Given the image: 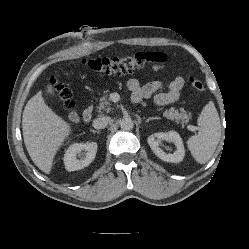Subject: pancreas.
<instances>
[{
	"label": "pancreas",
	"instance_id": "pancreas-1",
	"mask_svg": "<svg viewBox=\"0 0 249 249\" xmlns=\"http://www.w3.org/2000/svg\"><path fill=\"white\" fill-rule=\"evenodd\" d=\"M110 99L108 98V94L107 91L105 92V94L100 98V103L99 106L97 107L98 111H105V112H109L111 110V104L109 103ZM161 109H158V111H160ZM163 116L175 121L177 124H186L189 119L191 118V114H187V112L185 111L184 108H180V109H175V108H170L168 110H165L163 112Z\"/></svg>",
	"mask_w": 249,
	"mask_h": 249
}]
</instances>
